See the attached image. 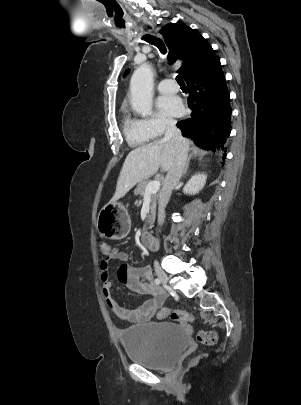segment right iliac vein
<instances>
[{
    "mask_svg": "<svg viewBox=\"0 0 301 405\" xmlns=\"http://www.w3.org/2000/svg\"><path fill=\"white\" fill-rule=\"evenodd\" d=\"M155 272L159 278V280L165 284L168 283L169 278L167 274L164 272V270L158 265V263L155 262L154 264Z\"/></svg>",
    "mask_w": 301,
    "mask_h": 405,
    "instance_id": "1",
    "label": "right iliac vein"
}]
</instances>
